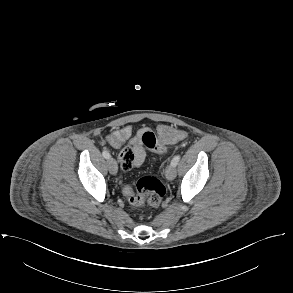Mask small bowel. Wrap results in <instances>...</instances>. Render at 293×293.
<instances>
[{
    "label": "small bowel",
    "mask_w": 293,
    "mask_h": 293,
    "mask_svg": "<svg viewBox=\"0 0 293 293\" xmlns=\"http://www.w3.org/2000/svg\"><path fill=\"white\" fill-rule=\"evenodd\" d=\"M146 129L139 130L133 134L131 126H123L113 130L105 139L111 147L121 148L126 142L129 145L119 153V161L121 167L125 171L131 170L133 167L142 165L146 158V150L142 142V134ZM158 133L164 143L172 144L185 140L187 133L183 130H176L170 126L161 125L158 128Z\"/></svg>",
    "instance_id": "1"
}]
</instances>
